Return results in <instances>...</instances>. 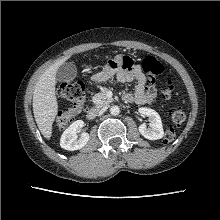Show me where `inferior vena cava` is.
<instances>
[{
	"mask_svg": "<svg viewBox=\"0 0 220 220\" xmlns=\"http://www.w3.org/2000/svg\"><path fill=\"white\" fill-rule=\"evenodd\" d=\"M105 111V108L99 109V108H92L90 113L93 115H102Z\"/></svg>",
	"mask_w": 220,
	"mask_h": 220,
	"instance_id": "inferior-vena-cava-1",
	"label": "inferior vena cava"
}]
</instances>
